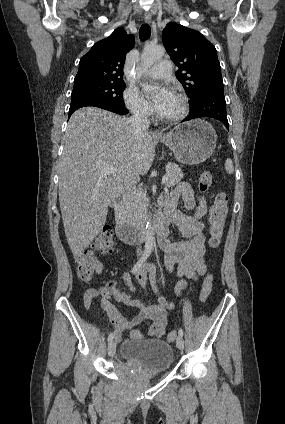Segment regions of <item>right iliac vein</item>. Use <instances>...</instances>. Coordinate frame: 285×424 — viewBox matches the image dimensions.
Wrapping results in <instances>:
<instances>
[{
    "label": "right iliac vein",
    "instance_id": "63e3f726",
    "mask_svg": "<svg viewBox=\"0 0 285 424\" xmlns=\"http://www.w3.org/2000/svg\"><path fill=\"white\" fill-rule=\"evenodd\" d=\"M115 351H116V343L115 341H111L108 345V355L110 357L114 356Z\"/></svg>",
    "mask_w": 285,
    "mask_h": 424
}]
</instances>
